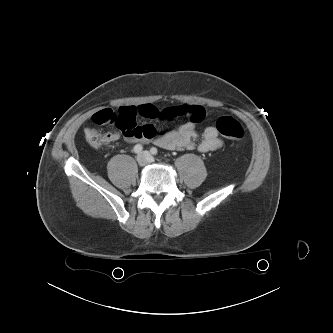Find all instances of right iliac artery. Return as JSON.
I'll return each mask as SVG.
<instances>
[{
    "mask_svg": "<svg viewBox=\"0 0 333 333\" xmlns=\"http://www.w3.org/2000/svg\"><path fill=\"white\" fill-rule=\"evenodd\" d=\"M142 149H143L142 145L137 144V145L134 146L133 151L135 153H140L142 151Z\"/></svg>",
    "mask_w": 333,
    "mask_h": 333,
    "instance_id": "1",
    "label": "right iliac artery"
}]
</instances>
